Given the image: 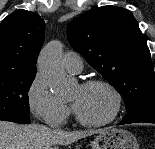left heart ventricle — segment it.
I'll return each instance as SVG.
<instances>
[{"instance_id": "obj_1", "label": "left heart ventricle", "mask_w": 155, "mask_h": 149, "mask_svg": "<svg viewBox=\"0 0 155 149\" xmlns=\"http://www.w3.org/2000/svg\"><path fill=\"white\" fill-rule=\"evenodd\" d=\"M70 101L79 115L89 121H102L110 116L113 109V98L102 87L78 86L72 92Z\"/></svg>"}]
</instances>
